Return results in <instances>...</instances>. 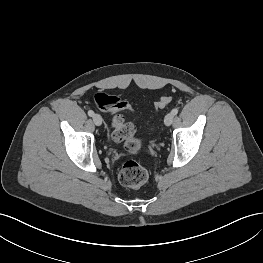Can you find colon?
Masks as SVG:
<instances>
[{
  "instance_id": "5ec220e1",
  "label": "colon",
  "mask_w": 263,
  "mask_h": 263,
  "mask_svg": "<svg viewBox=\"0 0 263 263\" xmlns=\"http://www.w3.org/2000/svg\"><path fill=\"white\" fill-rule=\"evenodd\" d=\"M95 103L103 108L113 111L131 112L132 107L123 99L107 93H98L95 95ZM172 101L171 96H162L155 102L156 110L163 109ZM113 140L123 143L125 150L131 154L136 153L140 147L142 140L135 133L134 127L125 121L122 114L117 113L112 119ZM120 182L127 187L139 188L148 180L147 170L135 161H127L121 168L119 173Z\"/></svg>"
}]
</instances>
